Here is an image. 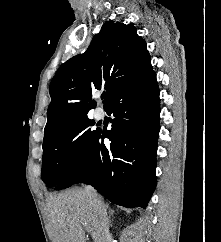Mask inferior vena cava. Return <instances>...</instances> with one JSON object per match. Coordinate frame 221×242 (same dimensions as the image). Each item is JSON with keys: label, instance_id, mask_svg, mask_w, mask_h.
<instances>
[{"label": "inferior vena cava", "instance_id": "inferior-vena-cava-1", "mask_svg": "<svg viewBox=\"0 0 221 242\" xmlns=\"http://www.w3.org/2000/svg\"><path fill=\"white\" fill-rule=\"evenodd\" d=\"M85 190L97 214L98 238L96 242H111L107 206L100 200L92 186H86Z\"/></svg>", "mask_w": 221, "mask_h": 242}]
</instances>
